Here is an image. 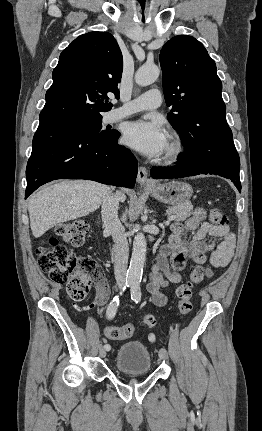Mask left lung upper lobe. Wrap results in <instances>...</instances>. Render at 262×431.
<instances>
[{
  "label": "left lung upper lobe",
  "mask_w": 262,
  "mask_h": 431,
  "mask_svg": "<svg viewBox=\"0 0 262 431\" xmlns=\"http://www.w3.org/2000/svg\"><path fill=\"white\" fill-rule=\"evenodd\" d=\"M167 118L181 136L179 160L210 165L222 154H238L225 118L222 83L214 60L194 37L178 35L160 52Z\"/></svg>",
  "instance_id": "left-lung-upper-lobe-1"
}]
</instances>
